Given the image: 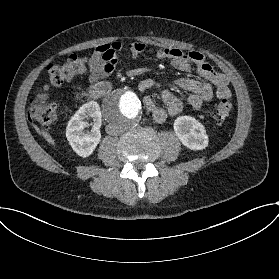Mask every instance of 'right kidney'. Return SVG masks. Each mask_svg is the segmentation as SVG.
<instances>
[{
  "label": "right kidney",
  "mask_w": 279,
  "mask_h": 279,
  "mask_svg": "<svg viewBox=\"0 0 279 279\" xmlns=\"http://www.w3.org/2000/svg\"><path fill=\"white\" fill-rule=\"evenodd\" d=\"M91 118L89 124L85 119ZM102 115L100 106L95 101L83 104L69 120L66 127V137L72 149L81 157H88L100 142ZM92 126L90 131L85 128Z\"/></svg>",
  "instance_id": "obj_1"
}]
</instances>
